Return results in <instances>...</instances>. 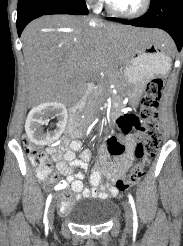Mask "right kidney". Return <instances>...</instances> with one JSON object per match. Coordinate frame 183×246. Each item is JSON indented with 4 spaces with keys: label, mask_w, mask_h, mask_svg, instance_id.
I'll use <instances>...</instances> for the list:
<instances>
[{
    "label": "right kidney",
    "mask_w": 183,
    "mask_h": 246,
    "mask_svg": "<svg viewBox=\"0 0 183 246\" xmlns=\"http://www.w3.org/2000/svg\"><path fill=\"white\" fill-rule=\"evenodd\" d=\"M58 117L57 129L44 133L41 126L47 125L50 118ZM66 107L58 102H47L33 108L26 119L25 130L29 139L36 145H47L55 141L67 123Z\"/></svg>",
    "instance_id": "obj_1"
}]
</instances>
